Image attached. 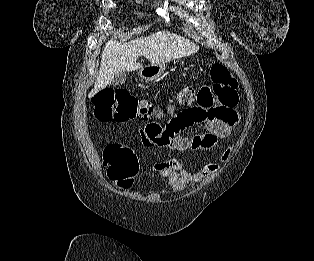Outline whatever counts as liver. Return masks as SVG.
Returning a JSON list of instances; mask_svg holds the SVG:
<instances>
[{"label":"liver","instance_id":"6515ba94","mask_svg":"<svg viewBox=\"0 0 314 261\" xmlns=\"http://www.w3.org/2000/svg\"><path fill=\"white\" fill-rule=\"evenodd\" d=\"M198 49L190 40L168 31H159L128 43L109 40L103 47L99 73L88 97L106 88L116 74L141 69L143 66L137 62L140 56L152 64H161L193 55Z\"/></svg>","mask_w":314,"mask_h":261}]
</instances>
